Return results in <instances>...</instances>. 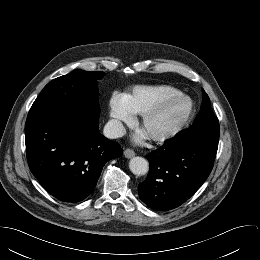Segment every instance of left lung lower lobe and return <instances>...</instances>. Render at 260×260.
<instances>
[{
	"mask_svg": "<svg viewBox=\"0 0 260 260\" xmlns=\"http://www.w3.org/2000/svg\"><path fill=\"white\" fill-rule=\"evenodd\" d=\"M218 143L175 137L146 155L149 174L138 186L140 199L157 211H167L189 199L209 176Z\"/></svg>",
	"mask_w": 260,
	"mask_h": 260,
	"instance_id": "obj_1",
	"label": "left lung lower lobe"
}]
</instances>
